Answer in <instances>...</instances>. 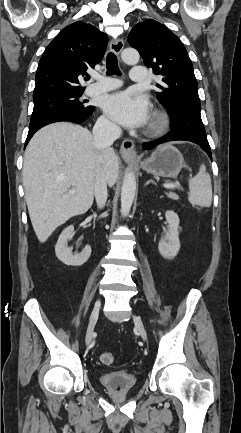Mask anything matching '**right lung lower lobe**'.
Here are the masks:
<instances>
[{
    "mask_svg": "<svg viewBox=\"0 0 241 433\" xmlns=\"http://www.w3.org/2000/svg\"><path fill=\"white\" fill-rule=\"evenodd\" d=\"M93 111H94V107L91 106V108L86 112H81V113L63 112V113L54 114L52 116H49L41 120L40 122L29 127V132L26 139L25 147L29 142V140L31 139V137L34 135V133L38 131L40 128L50 123L59 122V121H68V122H74L79 124L85 121L86 119H88L90 115L93 113Z\"/></svg>",
    "mask_w": 241,
    "mask_h": 433,
    "instance_id": "1",
    "label": "right lung lower lobe"
}]
</instances>
